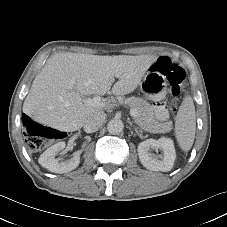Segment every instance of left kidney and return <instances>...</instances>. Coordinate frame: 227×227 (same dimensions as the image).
I'll return each mask as SVG.
<instances>
[{"mask_svg":"<svg viewBox=\"0 0 227 227\" xmlns=\"http://www.w3.org/2000/svg\"><path fill=\"white\" fill-rule=\"evenodd\" d=\"M160 149V156L152 153V150ZM138 155L142 165L152 171H170L176 159L173 141L162 137L158 140L147 139L138 145Z\"/></svg>","mask_w":227,"mask_h":227,"instance_id":"1","label":"left kidney"}]
</instances>
